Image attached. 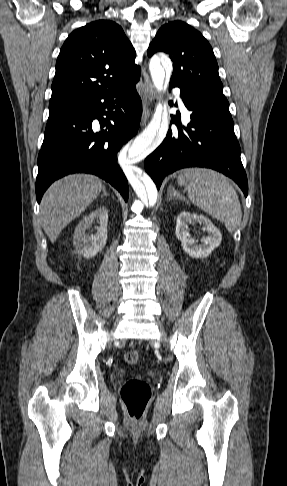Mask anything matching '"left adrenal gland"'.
Listing matches in <instances>:
<instances>
[{"label": "left adrenal gland", "instance_id": "left-adrenal-gland-1", "mask_svg": "<svg viewBox=\"0 0 287 486\" xmlns=\"http://www.w3.org/2000/svg\"><path fill=\"white\" fill-rule=\"evenodd\" d=\"M179 199L181 201H185V197H183L178 191L174 189V187L170 186L167 191V200H174Z\"/></svg>", "mask_w": 287, "mask_h": 486}]
</instances>
